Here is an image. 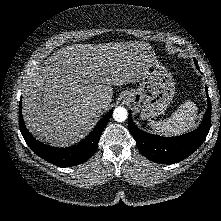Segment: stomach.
<instances>
[{"mask_svg":"<svg viewBox=\"0 0 221 221\" xmlns=\"http://www.w3.org/2000/svg\"><path fill=\"white\" fill-rule=\"evenodd\" d=\"M174 94L172 74L156 60L145 66L140 87L125 91L123 97L140 112L142 119H148L163 114Z\"/></svg>","mask_w":221,"mask_h":221,"instance_id":"1","label":"stomach"}]
</instances>
